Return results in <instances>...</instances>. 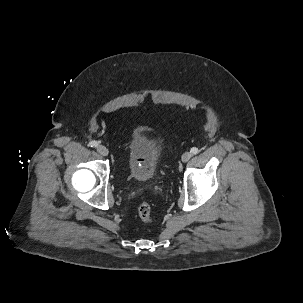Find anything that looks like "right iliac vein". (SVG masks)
<instances>
[{
    "mask_svg": "<svg viewBox=\"0 0 303 303\" xmlns=\"http://www.w3.org/2000/svg\"><path fill=\"white\" fill-rule=\"evenodd\" d=\"M97 151H98V153H100L103 156H107L109 154L108 149L105 146H103V145H99L97 147Z\"/></svg>",
    "mask_w": 303,
    "mask_h": 303,
    "instance_id": "right-iliac-vein-1",
    "label": "right iliac vein"
}]
</instances>
